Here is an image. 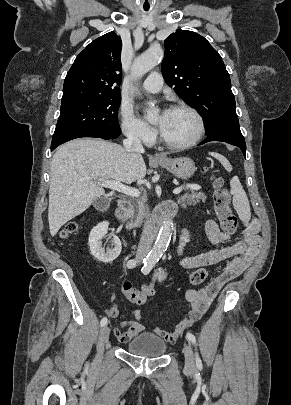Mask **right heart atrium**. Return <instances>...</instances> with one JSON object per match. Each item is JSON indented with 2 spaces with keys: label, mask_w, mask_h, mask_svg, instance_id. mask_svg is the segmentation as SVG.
Returning a JSON list of instances; mask_svg holds the SVG:
<instances>
[{
  "label": "right heart atrium",
  "mask_w": 291,
  "mask_h": 405,
  "mask_svg": "<svg viewBox=\"0 0 291 405\" xmlns=\"http://www.w3.org/2000/svg\"><path fill=\"white\" fill-rule=\"evenodd\" d=\"M121 129L130 139L144 144H150L155 138V132L139 119L131 109L122 107L120 110Z\"/></svg>",
  "instance_id": "d8ad5b80"
}]
</instances>
